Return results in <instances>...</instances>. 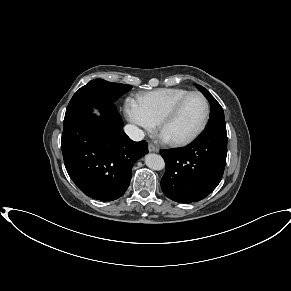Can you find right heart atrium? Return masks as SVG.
<instances>
[{
    "instance_id": "obj_1",
    "label": "right heart atrium",
    "mask_w": 291,
    "mask_h": 291,
    "mask_svg": "<svg viewBox=\"0 0 291 291\" xmlns=\"http://www.w3.org/2000/svg\"><path fill=\"white\" fill-rule=\"evenodd\" d=\"M124 109L127 119L135 126L137 132L151 131L155 128V123L147 116L138 101L128 98Z\"/></svg>"
}]
</instances>
